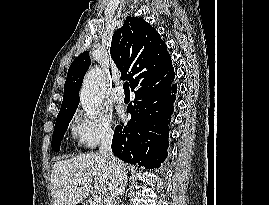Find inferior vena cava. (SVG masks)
Listing matches in <instances>:
<instances>
[{
	"label": "inferior vena cava",
	"mask_w": 269,
	"mask_h": 205,
	"mask_svg": "<svg viewBox=\"0 0 269 205\" xmlns=\"http://www.w3.org/2000/svg\"><path fill=\"white\" fill-rule=\"evenodd\" d=\"M112 139L113 132L111 130H107L101 138V146L99 148V152L106 160L112 174L104 205H116L118 198L125 192L127 182L125 168L121 161L118 160L112 152Z\"/></svg>",
	"instance_id": "602c4592"
}]
</instances>
